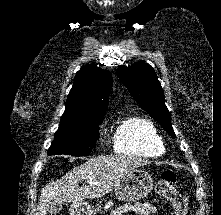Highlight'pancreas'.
I'll list each match as a JSON object with an SVG mask.
<instances>
[{"label":"pancreas","instance_id":"obj_1","mask_svg":"<svg viewBox=\"0 0 221 215\" xmlns=\"http://www.w3.org/2000/svg\"><path fill=\"white\" fill-rule=\"evenodd\" d=\"M113 206V203L111 201L107 202L104 209L107 210L108 208H111Z\"/></svg>","mask_w":221,"mask_h":215}]
</instances>
